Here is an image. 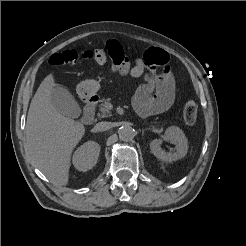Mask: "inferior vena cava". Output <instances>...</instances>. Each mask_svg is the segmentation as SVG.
Listing matches in <instances>:
<instances>
[{"mask_svg":"<svg viewBox=\"0 0 246 246\" xmlns=\"http://www.w3.org/2000/svg\"><path fill=\"white\" fill-rule=\"evenodd\" d=\"M112 127L111 122H99L95 125L94 129L97 132L109 130Z\"/></svg>","mask_w":246,"mask_h":246,"instance_id":"inferior-vena-cava-1","label":"inferior vena cava"}]
</instances>
